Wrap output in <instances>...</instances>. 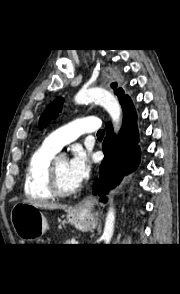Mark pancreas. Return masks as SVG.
Listing matches in <instances>:
<instances>
[{
	"instance_id": "obj_1",
	"label": "pancreas",
	"mask_w": 180,
	"mask_h": 294,
	"mask_svg": "<svg viewBox=\"0 0 180 294\" xmlns=\"http://www.w3.org/2000/svg\"><path fill=\"white\" fill-rule=\"evenodd\" d=\"M65 244H70V242H65Z\"/></svg>"
}]
</instances>
